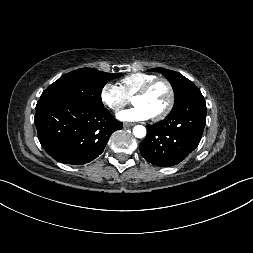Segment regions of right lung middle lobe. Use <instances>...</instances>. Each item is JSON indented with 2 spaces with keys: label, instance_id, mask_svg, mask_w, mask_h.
<instances>
[{
  "label": "right lung middle lobe",
  "instance_id": "obj_1",
  "mask_svg": "<svg viewBox=\"0 0 253 253\" xmlns=\"http://www.w3.org/2000/svg\"><path fill=\"white\" fill-rule=\"evenodd\" d=\"M121 75L81 68L61 76L43 91L40 99L62 100L102 108V88L107 82Z\"/></svg>",
  "mask_w": 253,
  "mask_h": 253
}]
</instances>
